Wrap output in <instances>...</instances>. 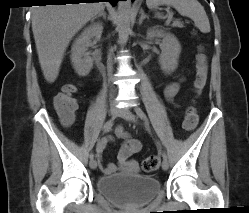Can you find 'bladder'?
<instances>
[{
	"label": "bladder",
	"mask_w": 249,
	"mask_h": 213,
	"mask_svg": "<svg viewBox=\"0 0 249 213\" xmlns=\"http://www.w3.org/2000/svg\"><path fill=\"white\" fill-rule=\"evenodd\" d=\"M97 190L117 205L135 207L149 202L160 191V183L147 175L117 173L99 177Z\"/></svg>",
	"instance_id": "31cf9c89"
}]
</instances>
